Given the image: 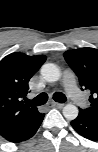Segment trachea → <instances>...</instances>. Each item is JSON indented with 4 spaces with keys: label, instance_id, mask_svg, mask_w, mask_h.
<instances>
[{
    "label": "trachea",
    "instance_id": "obj_1",
    "mask_svg": "<svg viewBox=\"0 0 98 152\" xmlns=\"http://www.w3.org/2000/svg\"><path fill=\"white\" fill-rule=\"evenodd\" d=\"M53 99L59 103H64L67 100L66 96L61 92L54 93ZM47 100H48L47 94L41 93L37 97H35L34 99L28 100L27 103H30V104L35 105V106H40V105H44L47 102Z\"/></svg>",
    "mask_w": 98,
    "mask_h": 152
}]
</instances>
